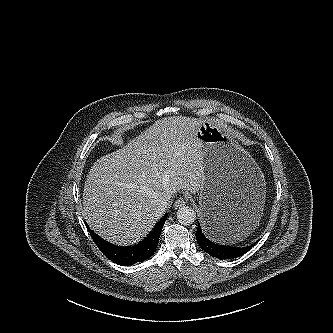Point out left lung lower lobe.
<instances>
[{"instance_id":"1","label":"left lung lower lobe","mask_w":333,"mask_h":333,"mask_svg":"<svg viewBox=\"0 0 333 333\" xmlns=\"http://www.w3.org/2000/svg\"><path fill=\"white\" fill-rule=\"evenodd\" d=\"M239 222L237 221H224L222 217L217 216V219L213 220V223L211 224V227L214 231V235L219 241L221 240V235L223 232H226L228 228L233 225V226H238ZM196 239L199 244V246L204 250L206 253L211 255L212 257L221 259V260H226V259H234L239 256H242L246 252H248L254 245H250L247 247H232V246H225V245H220L217 243H214L210 240H208L205 235L202 233L200 224L198 223V228L196 232ZM257 243V242H256Z\"/></svg>"}]
</instances>
